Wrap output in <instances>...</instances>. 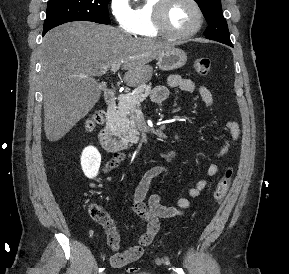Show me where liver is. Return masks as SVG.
I'll use <instances>...</instances> for the list:
<instances>
[{
  "label": "liver",
  "instance_id": "obj_1",
  "mask_svg": "<svg viewBox=\"0 0 289 274\" xmlns=\"http://www.w3.org/2000/svg\"><path fill=\"white\" fill-rule=\"evenodd\" d=\"M173 48L92 22H70L49 31L41 44L47 139L55 142L64 137L95 106L102 88L94 77L106 74L116 63L127 71L128 86L142 85L152 76L148 63Z\"/></svg>",
  "mask_w": 289,
  "mask_h": 274
}]
</instances>
